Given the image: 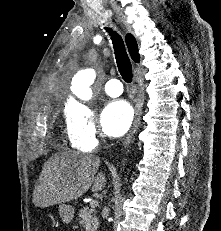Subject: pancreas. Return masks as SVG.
Here are the masks:
<instances>
[{
	"mask_svg": "<svg viewBox=\"0 0 221 231\" xmlns=\"http://www.w3.org/2000/svg\"><path fill=\"white\" fill-rule=\"evenodd\" d=\"M95 208L83 207L78 213V220L80 225L86 229V231H97L99 222L95 216Z\"/></svg>",
	"mask_w": 221,
	"mask_h": 231,
	"instance_id": "1",
	"label": "pancreas"
}]
</instances>
